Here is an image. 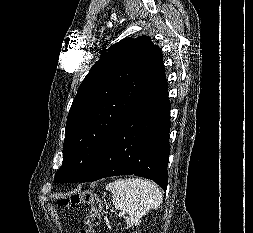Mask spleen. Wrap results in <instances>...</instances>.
<instances>
[{"label": "spleen", "mask_w": 253, "mask_h": 233, "mask_svg": "<svg viewBox=\"0 0 253 233\" xmlns=\"http://www.w3.org/2000/svg\"><path fill=\"white\" fill-rule=\"evenodd\" d=\"M112 194V202L116 209L128 214L127 225H138L141 218L150 210H157L163 196L159 187L148 180L129 178L115 180L106 185Z\"/></svg>", "instance_id": "spleen-1"}]
</instances>
